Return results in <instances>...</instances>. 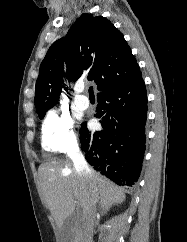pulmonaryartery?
<instances>
[{
    "label": "pulmonary artery",
    "mask_w": 187,
    "mask_h": 242,
    "mask_svg": "<svg viewBox=\"0 0 187 242\" xmlns=\"http://www.w3.org/2000/svg\"><path fill=\"white\" fill-rule=\"evenodd\" d=\"M76 96H75V104L82 109H86L89 106V100L88 98L82 94L84 91L83 85H77L76 88Z\"/></svg>",
    "instance_id": "e3ab8cb5"
}]
</instances>
